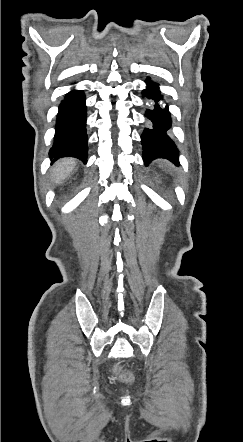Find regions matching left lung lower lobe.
Here are the masks:
<instances>
[{
    "instance_id": "obj_1",
    "label": "left lung lower lobe",
    "mask_w": 243,
    "mask_h": 442,
    "mask_svg": "<svg viewBox=\"0 0 243 442\" xmlns=\"http://www.w3.org/2000/svg\"><path fill=\"white\" fill-rule=\"evenodd\" d=\"M145 82L147 87L142 92L143 97H147L152 103L145 114L150 124L141 135L143 160L147 165L156 158H166L177 164L179 153L175 143L168 135V130L172 126L168 106L164 107L161 104L163 97L160 94L159 85L152 82L150 78Z\"/></svg>"
}]
</instances>
